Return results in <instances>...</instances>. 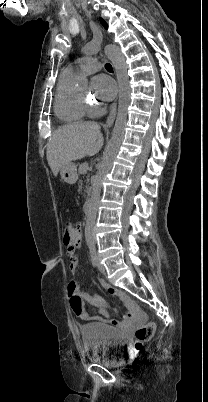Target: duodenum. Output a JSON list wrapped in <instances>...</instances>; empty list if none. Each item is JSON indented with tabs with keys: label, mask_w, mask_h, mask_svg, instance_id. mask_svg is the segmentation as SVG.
<instances>
[{
	"label": "duodenum",
	"mask_w": 208,
	"mask_h": 402,
	"mask_svg": "<svg viewBox=\"0 0 208 402\" xmlns=\"http://www.w3.org/2000/svg\"><path fill=\"white\" fill-rule=\"evenodd\" d=\"M90 209H91V201L88 199L84 203V212L89 213Z\"/></svg>",
	"instance_id": "410a0bca"
}]
</instances>
